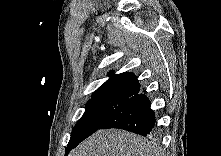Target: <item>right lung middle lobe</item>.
I'll return each instance as SVG.
<instances>
[{"label": "right lung middle lobe", "instance_id": "right-lung-middle-lobe-1", "mask_svg": "<svg viewBox=\"0 0 221 156\" xmlns=\"http://www.w3.org/2000/svg\"><path fill=\"white\" fill-rule=\"evenodd\" d=\"M122 102L124 101L121 99L92 98L86 104L85 113L72 131L65 154L67 155L71 149L99 130L107 117Z\"/></svg>", "mask_w": 221, "mask_h": 156}]
</instances>
